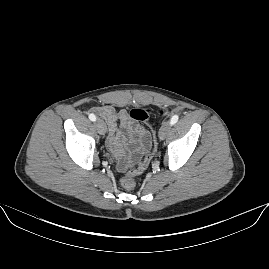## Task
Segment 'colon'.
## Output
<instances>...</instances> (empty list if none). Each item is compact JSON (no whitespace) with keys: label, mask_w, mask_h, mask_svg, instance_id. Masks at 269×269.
<instances>
[{"label":"colon","mask_w":269,"mask_h":269,"mask_svg":"<svg viewBox=\"0 0 269 269\" xmlns=\"http://www.w3.org/2000/svg\"><path fill=\"white\" fill-rule=\"evenodd\" d=\"M157 113L161 114V110H157ZM152 111L146 108L135 107L130 110V117L135 121L145 122L151 124L153 119L151 118ZM148 148L142 152V156L138 163V166L132 169H129L126 174L121 178V186L130 191L133 190L136 186V176L146 170L149 166V163L156 151V142L155 136L150 135L147 139Z\"/></svg>","instance_id":"obj_1"}]
</instances>
